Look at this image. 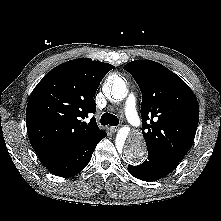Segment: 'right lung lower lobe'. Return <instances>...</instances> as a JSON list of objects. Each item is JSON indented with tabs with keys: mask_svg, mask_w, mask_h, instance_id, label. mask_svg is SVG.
I'll use <instances>...</instances> for the list:
<instances>
[{
	"mask_svg": "<svg viewBox=\"0 0 221 221\" xmlns=\"http://www.w3.org/2000/svg\"><path fill=\"white\" fill-rule=\"evenodd\" d=\"M106 135L107 134L103 132L59 156L44 161L43 165L57 176H74L87 166L96 145L106 137Z\"/></svg>",
	"mask_w": 221,
	"mask_h": 221,
	"instance_id": "obj_1",
	"label": "right lung lower lobe"
}]
</instances>
